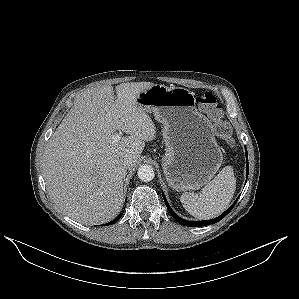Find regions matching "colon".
<instances>
[{
	"label": "colon",
	"instance_id": "1",
	"mask_svg": "<svg viewBox=\"0 0 299 299\" xmlns=\"http://www.w3.org/2000/svg\"><path fill=\"white\" fill-rule=\"evenodd\" d=\"M196 100L202 111L212 121L216 135L231 143V127L226 121L222 107L215 95L211 92H205L200 94Z\"/></svg>",
	"mask_w": 299,
	"mask_h": 299
}]
</instances>
